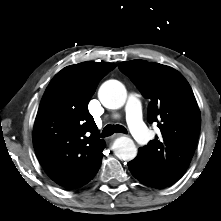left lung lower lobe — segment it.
Wrapping results in <instances>:
<instances>
[{"label":"left lung lower lobe","instance_id":"obj_1","mask_svg":"<svg viewBox=\"0 0 221 221\" xmlns=\"http://www.w3.org/2000/svg\"><path fill=\"white\" fill-rule=\"evenodd\" d=\"M129 170L131 171L132 175L144 185L158 188L152 179L150 178L145 163L138 155L134 160L128 163Z\"/></svg>","mask_w":221,"mask_h":221}]
</instances>
